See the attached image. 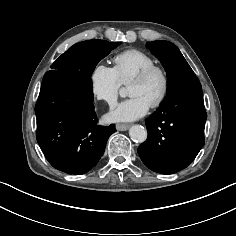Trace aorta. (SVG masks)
<instances>
[{"label": "aorta", "instance_id": "1", "mask_svg": "<svg viewBox=\"0 0 236 236\" xmlns=\"http://www.w3.org/2000/svg\"><path fill=\"white\" fill-rule=\"evenodd\" d=\"M120 96L125 97L126 96V90L121 89L120 90ZM129 136L133 141L143 143L147 139V131L146 129L141 125H133L129 129Z\"/></svg>", "mask_w": 236, "mask_h": 236}]
</instances>
